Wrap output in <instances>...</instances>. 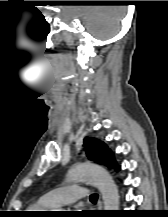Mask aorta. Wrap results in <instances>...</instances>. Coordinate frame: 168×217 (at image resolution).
I'll use <instances>...</instances> for the list:
<instances>
[{"label":"aorta","mask_w":168,"mask_h":217,"mask_svg":"<svg viewBox=\"0 0 168 217\" xmlns=\"http://www.w3.org/2000/svg\"><path fill=\"white\" fill-rule=\"evenodd\" d=\"M67 181L91 183L101 192L104 210H119L118 187L104 168L90 163L75 165L70 170Z\"/></svg>","instance_id":"1"}]
</instances>
